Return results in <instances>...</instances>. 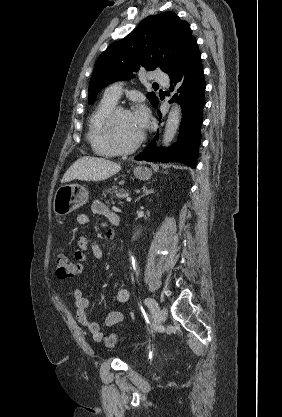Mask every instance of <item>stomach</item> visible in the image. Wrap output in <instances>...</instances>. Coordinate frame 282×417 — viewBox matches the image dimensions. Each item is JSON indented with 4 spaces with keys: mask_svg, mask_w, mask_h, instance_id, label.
Returning <instances> with one entry per match:
<instances>
[{
    "mask_svg": "<svg viewBox=\"0 0 282 417\" xmlns=\"http://www.w3.org/2000/svg\"><path fill=\"white\" fill-rule=\"evenodd\" d=\"M135 176L140 180H148L152 176L151 168L148 166H134ZM89 198V192L82 184H63L59 186L54 194L53 211L56 215H69L79 206L86 204Z\"/></svg>",
    "mask_w": 282,
    "mask_h": 417,
    "instance_id": "1",
    "label": "stomach"
}]
</instances>
